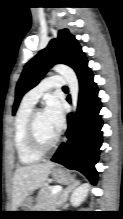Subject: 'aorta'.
<instances>
[{"label":"aorta","mask_w":123,"mask_h":219,"mask_svg":"<svg viewBox=\"0 0 123 219\" xmlns=\"http://www.w3.org/2000/svg\"><path fill=\"white\" fill-rule=\"evenodd\" d=\"M53 70L60 74L67 82L71 100L73 112L76 111L79 95V83L78 78L72 68L67 65L59 64L53 67Z\"/></svg>","instance_id":"762f6f07"}]
</instances>
